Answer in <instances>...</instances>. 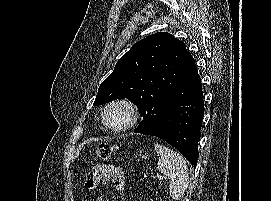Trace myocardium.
Returning <instances> with one entry per match:
<instances>
[{"mask_svg": "<svg viewBox=\"0 0 271 201\" xmlns=\"http://www.w3.org/2000/svg\"><path fill=\"white\" fill-rule=\"evenodd\" d=\"M116 106H120V107L125 108L129 114V120L127 121V123H125L124 125H122L120 127H113V126L109 125L106 120L107 112L111 108L116 107ZM101 119H102V123H103L104 127L107 130L112 131V132H116V133L124 132V131H127V130L133 128L138 123L139 111H138L137 107L134 105V103L131 102L130 100L125 99V98L116 99V100L109 102L103 108L102 114H101Z\"/></svg>", "mask_w": 271, "mask_h": 201, "instance_id": "obj_1", "label": "myocardium"}]
</instances>
